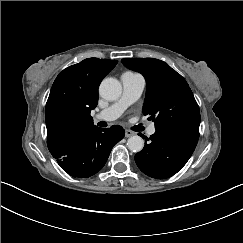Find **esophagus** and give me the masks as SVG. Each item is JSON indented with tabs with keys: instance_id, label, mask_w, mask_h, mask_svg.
Instances as JSON below:
<instances>
[{
	"instance_id": "obj_1",
	"label": "esophagus",
	"mask_w": 243,
	"mask_h": 243,
	"mask_svg": "<svg viewBox=\"0 0 243 243\" xmlns=\"http://www.w3.org/2000/svg\"><path fill=\"white\" fill-rule=\"evenodd\" d=\"M134 134H135V133L132 132V131H130V130H126V131H125V137H126V138H129V137H131V136H134Z\"/></svg>"
}]
</instances>
